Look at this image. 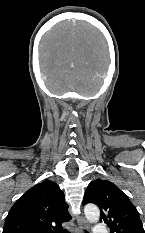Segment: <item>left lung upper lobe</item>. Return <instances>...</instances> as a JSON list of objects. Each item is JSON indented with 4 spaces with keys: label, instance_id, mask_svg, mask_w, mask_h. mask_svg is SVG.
I'll use <instances>...</instances> for the list:
<instances>
[{
    "label": "left lung upper lobe",
    "instance_id": "5c2ea615",
    "mask_svg": "<svg viewBox=\"0 0 145 233\" xmlns=\"http://www.w3.org/2000/svg\"><path fill=\"white\" fill-rule=\"evenodd\" d=\"M82 203H94L100 208V221L109 226L110 233H144L136 207L110 181L97 179L91 182Z\"/></svg>",
    "mask_w": 145,
    "mask_h": 233
}]
</instances>
